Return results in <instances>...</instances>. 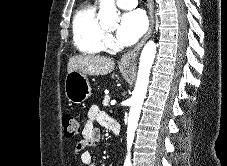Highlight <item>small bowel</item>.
<instances>
[{"instance_id": "1", "label": "small bowel", "mask_w": 227, "mask_h": 166, "mask_svg": "<svg viewBox=\"0 0 227 166\" xmlns=\"http://www.w3.org/2000/svg\"><path fill=\"white\" fill-rule=\"evenodd\" d=\"M110 117L97 105L88 110V119L82 129V139L75 146V154L79 156L84 166H95V155L87 151L89 147H97L100 142V131L95 127V122L109 128Z\"/></svg>"}]
</instances>
